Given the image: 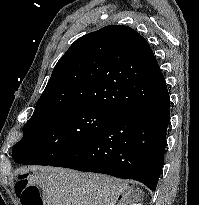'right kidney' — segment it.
<instances>
[{
	"instance_id": "1",
	"label": "right kidney",
	"mask_w": 199,
	"mask_h": 205,
	"mask_svg": "<svg viewBox=\"0 0 199 205\" xmlns=\"http://www.w3.org/2000/svg\"><path fill=\"white\" fill-rule=\"evenodd\" d=\"M132 205H142V204L138 203V204H132Z\"/></svg>"
}]
</instances>
